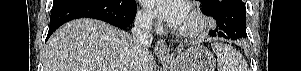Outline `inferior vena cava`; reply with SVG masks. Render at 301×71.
<instances>
[{
    "label": "inferior vena cava",
    "mask_w": 301,
    "mask_h": 71,
    "mask_svg": "<svg viewBox=\"0 0 301 71\" xmlns=\"http://www.w3.org/2000/svg\"><path fill=\"white\" fill-rule=\"evenodd\" d=\"M152 19L150 14L139 13L135 17L134 26L131 29L136 49L142 53H146L152 44ZM130 71H137V69H130Z\"/></svg>",
    "instance_id": "obj_1"
}]
</instances>
